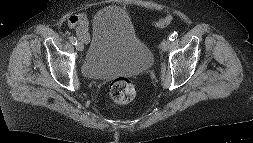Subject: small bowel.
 <instances>
[{
  "mask_svg": "<svg viewBox=\"0 0 253 143\" xmlns=\"http://www.w3.org/2000/svg\"><path fill=\"white\" fill-rule=\"evenodd\" d=\"M87 11H82L76 14H73L69 16L68 18V25L75 29L78 37L82 41H87L89 38V32H88V18H87ZM171 21V16L166 15L160 20L156 21L154 23L157 27H164Z\"/></svg>",
  "mask_w": 253,
  "mask_h": 143,
  "instance_id": "small-bowel-1",
  "label": "small bowel"
}]
</instances>
